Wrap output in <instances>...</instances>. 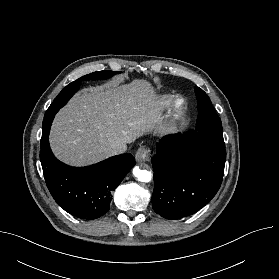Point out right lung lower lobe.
Here are the masks:
<instances>
[{
  "label": "right lung lower lobe",
  "instance_id": "right-lung-lower-lobe-1",
  "mask_svg": "<svg viewBox=\"0 0 279 279\" xmlns=\"http://www.w3.org/2000/svg\"><path fill=\"white\" fill-rule=\"evenodd\" d=\"M41 144L40 161L51 195L66 212L80 219L106 214L112 191L135 165V158L126 153L88 167H71L54 157L43 132Z\"/></svg>",
  "mask_w": 279,
  "mask_h": 279
}]
</instances>
